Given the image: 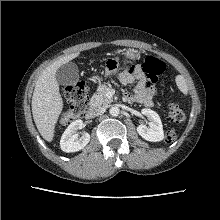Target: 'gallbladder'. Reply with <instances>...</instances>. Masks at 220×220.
Here are the masks:
<instances>
[{
    "mask_svg": "<svg viewBox=\"0 0 220 220\" xmlns=\"http://www.w3.org/2000/svg\"><path fill=\"white\" fill-rule=\"evenodd\" d=\"M57 83L60 85H76L79 81V70L75 63H66L60 66L55 74Z\"/></svg>",
    "mask_w": 220,
    "mask_h": 220,
    "instance_id": "obj_1",
    "label": "gallbladder"
}]
</instances>
